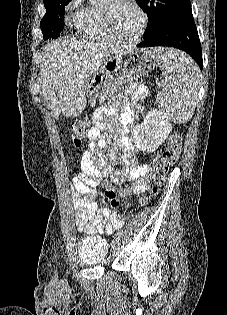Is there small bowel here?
I'll return each instance as SVG.
<instances>
[{
  "label": "small bowel",
  "instance_id": "1",
  "mask_svg": "<svg viewBox=\"0 0 227 315\" xmlns=\"http://www.w3.org/2000/svg\"><path fill=\"white\" fill-rule=\"evenodd\" d=\"M125 94L130 96L131 100H137L147 95V89L136 83H130ZM103 118L104 111H99L87 136V145L79 162V173L70 180L76 229L78 232L89 235L112 234L125 223L124 219H119L115 211L100 207L95 202L96 187L101 180L110 178L113 184L119 186L126 181H131L129 187H119L118 193L122 197L138 195L148 190L151 170L149 165L141 164L133 157L135 147L125 137L117 142V147L123 151L124 170L117 167L114 148L110 152L109 159L103 155H97V149L106 146L105 141L100 138Z\"/></svg>",
  "mask_w": 227,
  "mask_h": 315
}]
</instances>
